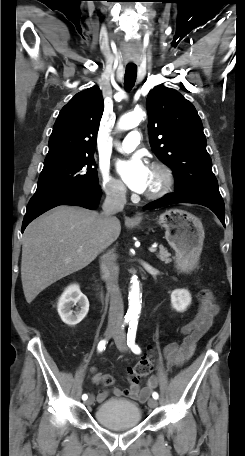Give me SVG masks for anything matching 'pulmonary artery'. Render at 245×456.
Returning a JSON list of instances; mask_svg holds the SVG:
<instances>
[{"mask_svg": "<svg viewBox=\"0 0 245 456\" xmlns=\"http://www.w3.org/2000/svg\"><path fill=\"white\" fill-rule=\"evenodd\" d=\"M140 133L136 130L131 131L128 133V135L125 137V139L121 142H117L115 144V147L117 150L121 152H132L137 145L140 143Z\"/></svg>", "mask_w": 245, "mask_h": 456, "instance_id": "obj_1", "label": "pulmonary artery"}]
</instances>
